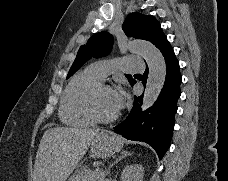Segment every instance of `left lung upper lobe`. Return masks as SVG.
<instances>
[{"mask_svg": "<svg viewBox=\"0 0 228 181\" xmlns=\"http://www.w3.org/2000/svg\"><path fill=\"white\" fill-rule=\"evenodd\" d=\"M122 29L128 37H135L150 41L157 46L166 38L159 22L151 15L131 13L127 16ZM113 45V36L108 32H99L89 38L86 45L80 47L67 78L71 77L91 57L99 58L110 53ZM130 84L135 80L127 75Z\"/></svg>", "mask_w": 228, "mask_h": 181, "instance_id": "5c2ea615", "label": "left lung upper lobe"}]
</instances>
